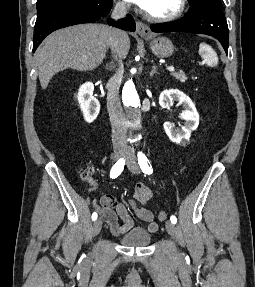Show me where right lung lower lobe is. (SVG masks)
Instances as JSON below:
<instances>
[{
	"label": "right lung lower lobe",
	"instance_id": "obj_1",
	"mask_svg": "<svg viewBox=\"0 0 255 287\" xmlns=\"http://www.w3.org/2000/svg\"><path fill=\"white\" fill-rule=\"evenodd\" d=\"M110 9L103 15L96 14L88 9H68L52 12L37 18L34 27L33 52L51 32L75 24L94 23L105 17ZM108 24L126 31H135L136 29L134 19L131 15H127L126 18L118 22L108 19Z\"/></svg>",
	"mask_w": 255,
	"mask_h": 287
}]
</instances>
